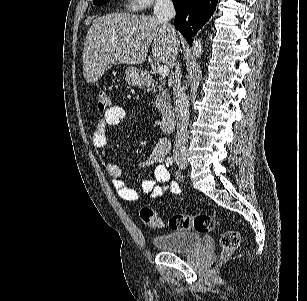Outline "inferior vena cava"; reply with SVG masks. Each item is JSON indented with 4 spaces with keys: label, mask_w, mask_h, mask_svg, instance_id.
Returning a JSON list of instances; mask_svg holds the SVG:
<instances>
[{
    "label": "inferior vena cava",
    "mask_w": 307,
    "mask_h": 301,
    "mask_svg": "<svg viewBox=\"0 0 307 301\" xmlns=\"http://www.w3.org/2000/svg\"><path fill=\"white\" fill-rule=\"evenodd\" d=\"M176 10L172 0H156L154 6V16L158 22H162L163 26L168 28L169 36L172 40H176V32L173 24L169 20L174 18ZM175 78L173 82V98L177 118L176 134L174 136L173 155L174 157H184L188 151V124H189V102L188 98L181 86L182 72L180 70V62L175 60Z\"/></svg>",
    "instance_id": "1"
}]
</instances>
